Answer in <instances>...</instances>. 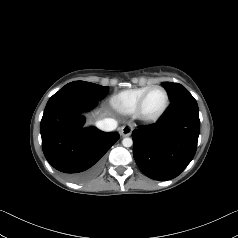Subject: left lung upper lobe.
Instances as JSON below:
<instances>
[{"label":"left lung upper lobe","instance_id":"obj_1","mask_svg":"<svg viewBox=\"0 0 238 238\" xmlns=\"http://www.w3.org/2000/svg\"><path fill=\"white\" fill-rule=\"evenodd\" d=\"M162 85L168 91L171 100H174L179 95L188 92L184 86L178 83L163 82Z\"/></svg>","mask_w":238,"mask_h":238}]
</instances>
